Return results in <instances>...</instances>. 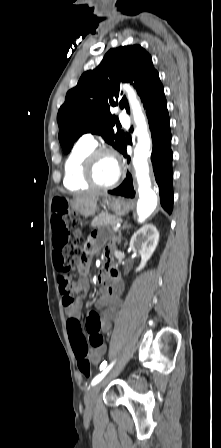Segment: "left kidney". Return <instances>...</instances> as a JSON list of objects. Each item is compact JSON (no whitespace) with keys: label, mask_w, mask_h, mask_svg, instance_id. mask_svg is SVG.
I'll list each match as a JSON object with an SVG mask.
<instances>
[{"label":"left kidney","mask_w":221,"mask_h":448,"mask_svg":"<svg viewBox=\"0 0 221 448\" xmlns=\"http://www.w3.org/2000/svg\"><path fill=\"white\" fill-rule=\"evenodd\" d=\"M159 241V232L154 225H145L133 234L130 248L141 255V263L136 272L142 270L154 253Z\"/></svg>","instance_id":"obj_1"}]
</instances>
